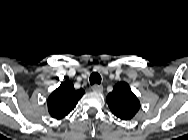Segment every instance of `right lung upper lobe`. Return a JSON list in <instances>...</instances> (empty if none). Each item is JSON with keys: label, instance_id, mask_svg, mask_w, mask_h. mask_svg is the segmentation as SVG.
<instances>
[{"label": "right lung upper lobe", "instance_id": "1", "mask_svg": "<svg viewBox=\"0 0 188 140\" xmlns=\"http://www.w3.org/2000/svg\"><path fill=\"white\" fill-rule=\"evenodd\" d=\"M84 93L83 89H74L71 82H62L48 97L47 105L50 115L57 120L64 118L75 108Z\"/></svg>", "mask_w": 188, "mask_h": 140}]
</instances>
